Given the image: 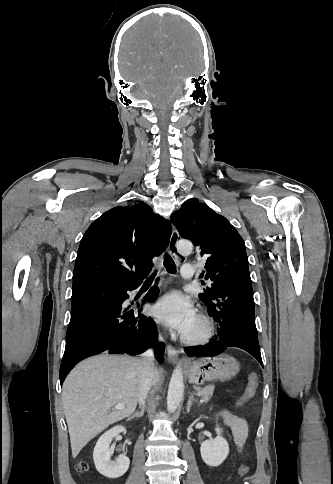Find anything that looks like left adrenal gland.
<instances>
[{"mask_svg": "<svg viewBox=\"0 0 333 484\" xmlns=\"http://www.w3.org/2000/svg\"><path fill=\"white\" fill-rule=\"evenodd\" d=\"M193 402H197V401L194 399L193 394L190 393V396H189V399H188V402H187V407H186L187 412L190 411V408L192 407Z\"/></svg>", "mask_w": 333, "mask_h": 484, "instance_id": "a2214340", "label": "left adrenal gland"}]
</instances>
